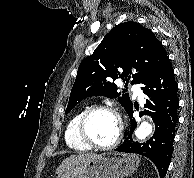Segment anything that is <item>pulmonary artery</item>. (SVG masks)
Instances as JSON below:
<instances>
[{
	"mask_svg": "<svg viewBox=\"0 0 194 178\" xmlns=\"http://www.w3.org/2000/svg\"><path fill=\"white\" fill-rule=\"evenodd\" d=\"M133 92H134V94H135L139 99H142V98H143V92H142V90L140 89L139 86L133 87Z\"/></svg>",
	"mask_w": 194,
	"mask_h": 178,
	"instance_id": "obj_1",
	"label": "pulmonary artery"
}]
</instances>
